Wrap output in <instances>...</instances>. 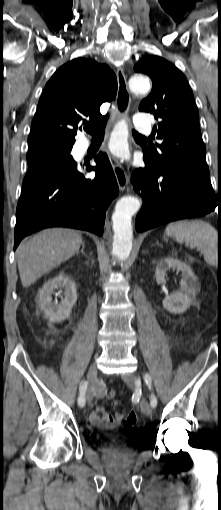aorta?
Here are the masks:
<instances>
[{
  "mask_svg": "<svg viewBox=\"0 0 221 510\" xmlns=\"http://www.w3.org/2000/svg\"><path fill=\"white\" fill-rule=\"evenodd\" d=\"M129 86L133 92L146 93L150 89L149 79L143 75H134L129 80ZM109 147L111 152L121 158H130L128 146V125L121 120L113 129ZM141 203L135 196H124L119 199L112 215L114 241L112 253L119 260L129 257L132 250L133 229L132 216L140 209Z\"/></svg>",
  "mask_w": 221,
  "mask_h": 510,
  "instance_id": "762f6f07",
  "label": "aorta"
}]
</instances>
